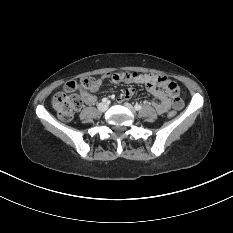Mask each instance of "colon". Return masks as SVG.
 Segmentation results:
<instances>
[{
  "label": "colon",
  "instance_id": "5ec220e1",
  "mask_svg": "<svg viewBox=\"0 0 233 233\" xmlns=\"http://www.w3.org/2000/svg\"><path fill=\"white\" fill-rule=\"evenodd\" d=\"M94 84L95 80L92 78H86L79 84L76 82H68L65 88L69 93L59 92L53 96L52 106L61 120L70 121L82 105L81 94L71 92H74L77 88H80L82 91L89 90ZM175 115V111L169 113L170 117H174Z\"/></svg>",
  "mask_w": 233,
  "mask_h": 233
}]
</instances>
